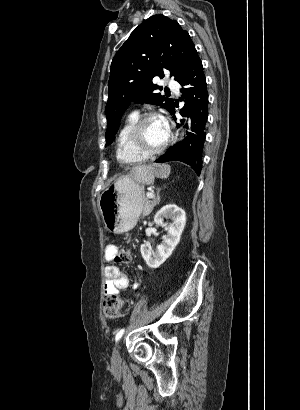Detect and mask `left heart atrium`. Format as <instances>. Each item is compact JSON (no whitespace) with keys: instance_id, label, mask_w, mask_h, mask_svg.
Wrapping results in <instances>:
<instances>
[{"instance_id":"left-heart-atrium-1","label":"left heart atrium","mask_w":300,"mask_h":410,"mask_svg":"<svg viewBox=\"0 0 300 410\" xmlns=\"http://www.w3.org/2000/svg\"><path fill=\"white\" fill-rule=\"evenodd\" d=\"M162 121V124L164 126V128L168 131V125L166 123V121H164L163 119H160Z\"/></svg>"}]
</instances>
